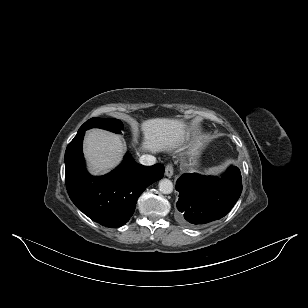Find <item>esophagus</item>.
<instances>
[{"instance_id": "34e87169", "label": "esophagus", "mask_w": 308, "mask_h": 308, "mask_svg": "<svg viewBox=\"0 0 308 308\" xmlns=\"http://www.w3.org/2000/svg\"><path fill=\"white\" fill-rule=\"evenodd\" d=\"M173 172H174V169H173L172 164H167L165 167V175L171 178L173 176Z\"/></svg>"}]
</instances>
